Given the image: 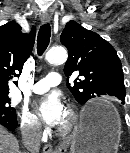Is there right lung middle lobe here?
<instances>
[{
    "mask_svg": "<svg viewBox=\"0 0 130 153\" xmlns=\"http://www.w3.org/2000/svg\"><path fill=\"white\" fill-rule=\"evenodd\" d=\"M8 97V92H0V111L11 115L15 116L16 115V110L15 108L9 106L10 101Z\"/></svg>",
    "mask_w": 130,
    "mask_h": 153,
    "instance_id": "right-lung-middle-lobe-1",
    "label": "right lung middle lobe"
}]
</instances>
